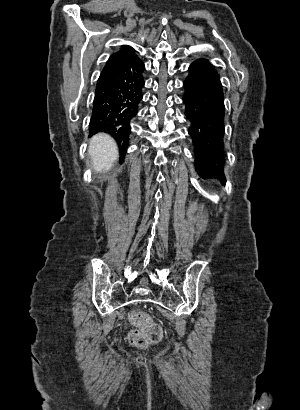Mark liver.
<instances>
[{
  "mask_svg": "<svg viewBox=\"0 0 300 410\" xmlns=\"http://www.w3.org/2000/svg\"><path fill=\"white\" fill-rule=\"evenodd\" d=\"M88 153L95 171H109L118 159V147L112 137L99 133L90 140Z\"/></svg>",
  "mask_w": 300,
  "mask_h": 410,
  "instance_id": "liver-1",
  "label": "liver"
}]
</instances>
